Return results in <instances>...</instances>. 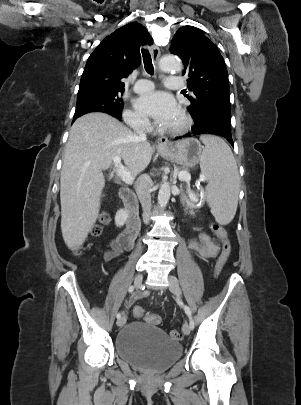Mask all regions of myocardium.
I'll return each instance as SVG.
<instances>
[{"label": "myocardium", "mask_w": 301, "mask_h": 405, "mask_svg": "<svg viewBox=\"0 0 301 405\" xmlns=\"http://www.w3.org/2000/svg\"><path fill=\"white\" fill-rule=\"evenodd\" d=\"M192 121L189 116L181 114L179 118V123L174 127L165 128L163 131L166 134L177 136L184 134L191 127Z\"/></svg>", "instance_id": "f54148a6"}]
</instances>
